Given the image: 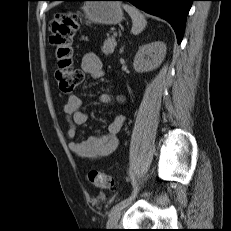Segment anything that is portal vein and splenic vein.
I'll use <instances>...</instances> for the list:
<instances>
[{
  "label": "portal vein and splenic vein",
  "instance_id": "1",
  "mask_svg": "<svg viewBox=\"0 0 231 231\" xmlns=\"http://www.w3.org/2000/svg\"><path fill=\"white\" fill-rule=\"evenodd\" d=\"M114 36H117V33H116V32L114 33Z\"/></svg>",
  "mask_w": 231,
  "mask_h": 231
}]
</instances>
